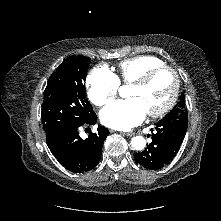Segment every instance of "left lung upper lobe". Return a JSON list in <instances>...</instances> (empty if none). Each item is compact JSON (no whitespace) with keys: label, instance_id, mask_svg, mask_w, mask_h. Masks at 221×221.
<instances>
[{"label":"left lung upper lobe","instance_id":"obj_1","mask_svg":"<svg viewBox=\"0 0 221 221\" xmlns=\"http://www.w3.org/2000/svg\"><path fill=\"white\" fill-rule=\"evenodd\" d=\"M184 94L181 93V97L179 102L175 105V107L167 114L164 118H178L187 121V112L185 109V102H184Z\"/></svg>","mask_w":221,"mask_h":221}]
</instances>
